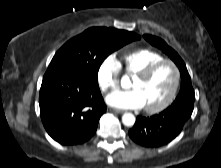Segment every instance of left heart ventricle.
<instances>
[{
  "instance_id": "left-heart-ventricle-1",
  "label": "left heart ventricle",
  "mask_w": 221,
  "mask_h": 168,
  "mask_svg": "<svg viewBox=\"0 0 221 168\" xmlns=\"http://www.w3.org/2000/svg\"><path fill=\"white\" fill-rule=\"evenodd\" d=\"M174 79L175 73L172 66L163 64L146 80L134 78L131 87L140 93L145 107H153L167 98Z\"/></svg>"
}]
</instances>
